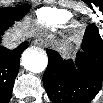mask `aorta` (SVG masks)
Wrapping results in <instances>:
<instances>
[{
    "label": "aorta",
    "instance_id": "aorta-1",
    "mask_svg": "<svg viewBox=\"0 0 103 103\" xmlns=\"http://www.w3.org/2000/svg\"><path fill=\"white\" fill-rule=\"evenodd\" d=\"M48 63V58L45 53L36 50H26L22 54L23 67L33 73L42 72Z\"/></svg>",
    "mask_w": 103,
    "mask_h": 103
}]
</instances>
